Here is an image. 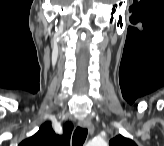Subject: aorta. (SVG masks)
I'll list each match as a JSON object with an SVG mask.
<instances>
[{"label": "aorta", "instance_id": "762f6f07", "mask_svg": "<svg viewBox=\"0 0 164 146\" xmlns=\"http://www.w3.org/2000/svg\"><path fill=\"white\" fill-rule=\"evenodd\" d=\"M89 144L90 146H106V142L104 140H94Z\"/></svg>", "mask_w": 164, "mask_h": 146}]
</instances>
